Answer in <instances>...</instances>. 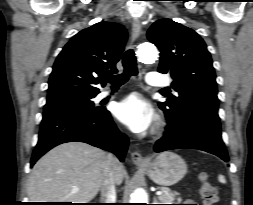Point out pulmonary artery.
Instances as JSON below:
<instances>
[{"label":"pulmonary artery","instance_id":"pulmonary-artery-1","mask_svg":"<svg viewBox=\"0 0 253 205\" xmlns=\"http://www.w3.org/2000/svg\"><path fill=\"white\" fill-rule=\"evenodd\" d=\"M146 82L147 84L151 85V86H167L169 85V82L162 79L159 74L155 73V72H149L146 76ZM114 92L110 91V90H103L99 95H98V99L102 100L108 96L113 95Z\"/></svg>","mask_w":253,"mask_h":205}]
</instances>
